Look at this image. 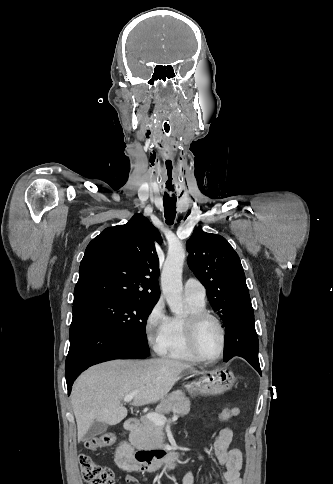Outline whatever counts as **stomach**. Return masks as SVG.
Returning a JSON list of instances; mask_svg holds the SVG:
<instances>
[{"instance_id":"obj_1","label":"stomach","mask_w":333,"mask_h":484,"mask_svg":"<svg viewBox=\"0 0 333 484\" xmlns=\"http://www.w3.org/2000/svg\"><path fill=\"white\" fill-rule=\"evenodd\" d=\"M199 378L186 386V391L191 395H222L230 390L235 382L232 370L221 367L212 371L193 372Z\"/></svg>"}]
</instances>
